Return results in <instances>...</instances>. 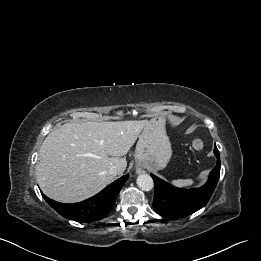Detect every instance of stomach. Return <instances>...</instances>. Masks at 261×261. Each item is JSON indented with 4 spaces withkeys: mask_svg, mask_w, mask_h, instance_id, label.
Wrapping results in <instances>:
<instances>
[{
    "mask_svg": "<svg viewBox=\"0 0 261 261\" xmlns=\"http://www.w3.org/2000/svg\"><path fill=\"white\" fill-rule=\"evenodd\" d=\"M172 156L164 118H153L143 128L137 142L135 159L138 166L147 164L155 170L166 167Z\"/></svg>",
    "mask_w": 261,
    "mask_h": 261,
    "instance_id": "obj_1",
    "label": "stomach"
}]
</instances>
